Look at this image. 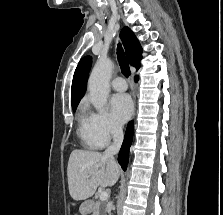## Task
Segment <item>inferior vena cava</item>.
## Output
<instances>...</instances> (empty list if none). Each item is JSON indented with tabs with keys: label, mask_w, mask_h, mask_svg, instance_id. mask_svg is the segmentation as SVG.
<instances>
[{
	"label": "inferior vena cava",
	"mask_w": 223,
	"mask_h": 215,
	"mask_svg": "<svg viewBox=\"0 0 223 215\" xmlns=\"http://www.w3.org/2000/svg\"><path fill=\"white\" fill-rule=\"evenodd\" d=\"M123 141V129L122 127H115L113 129V143L112 145H109L107 149H105L103 155L104 157H112L115 155V153H118L121 143Z\"/></svg>",
	"instance_id": "inferior-vena-cava-1"
}]
</instances>
